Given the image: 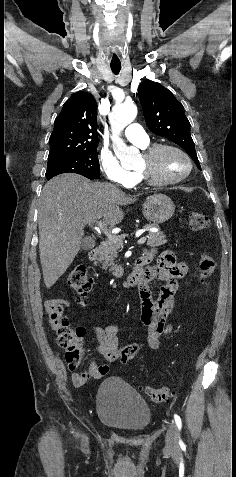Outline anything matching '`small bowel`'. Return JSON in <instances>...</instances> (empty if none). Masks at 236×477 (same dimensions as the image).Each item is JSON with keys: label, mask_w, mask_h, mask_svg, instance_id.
I'll list each match as a JSON object with an SVG mask.
<instances>
[{"label": "small bowel", "mask_w": 236, "mask_h": 477, "mask_svg": "<svg viewBox=\"0 0 236 477\" xmlns=\"http://www.w3.org/2000/svg\"><path fill=\"white\" fill-rule=\"evenodd\" d=\"M143 257L149 260V263L157 258V264L144 270L146 283L138 289L140 300V311L142 324L147 329V342L153 349H158L161 344V338L171 333L173 327L166 322L167 316L174 307V295L179 289L178 280L186 274L185 264L176 260L172 251L165 250L156 254L154 250L148 251ZM184 267V274H180L178 265ZM154 280L163 281L159 290V296L155 300L152 297L148 283ZM69 302L55 298L45 302V310L54 332L58 331V319L63 315V309ZM120 324H111L104 328L93 327L92 333L98 340L96 351L103 355L108 363L115 362L122 349L119 346ZM98 365L94 360L89 362L87 372L75 373L72 377L76 386L85 384L89 379H101L109 372V364Z\"/></svg>", "instance_id": "small-bowel-1"}]
</instances>
